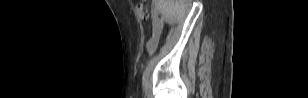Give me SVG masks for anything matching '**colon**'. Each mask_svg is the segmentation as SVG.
I'll list each match as a JSON object with an SVG mask.
<instances>
[{
    "instance_id": "5ec220e1",
    "label": "colon",
    "mask_w": 308,
    "mask_h": 98,
    "mask_svg": "<svg viewBox=\"0 0 308 98\" xmlns=\"http://www.w3.org/2000/svg\"><path fill=\"white\" fill-rule=\"evenodd\" d=\"M136 10H137V13H138V15L141 19L144 20V19L147 18V12H146L145 6L142 2H138L136 4Z\"/></svg>"
}]
</instances>
